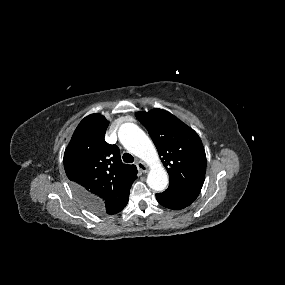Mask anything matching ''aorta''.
Instances as JSON below:
<instances>
[{
  "label": "aorta",
  "mask_w": 285,
  "mask_h": 285,
  "mask_svg": "<svg viewBox=\"0 0 285 285\" xmlns=\"http://www.w3.org/2000/svg\"><path fill=\"white\" fill-rule=\"evenodd\" d=\"M118 136L129 152L151 166L147 177L148 186L158 192L165 190L168 185L167 172L160 164L154 144L144 131L134 123H125L120 127Z\"/></svg>",
  "instance_id": "obj_1"
}]
</instances>
